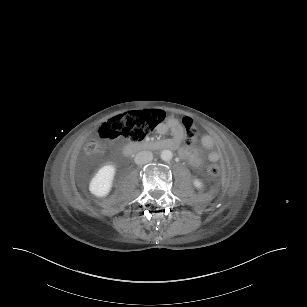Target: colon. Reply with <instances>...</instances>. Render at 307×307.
Listing matches in <instances>:
<instances>
[{"label":"colon","mask_w":307,"mask_h":307,"mask_svg":"<svg viewBox=\"0 0 307 307\" xmlns=\"http://www.w3.org/2000/svg\"><path fill=\"white\" fill-rule=\"evenodd\" d=\"M164 117L165 113L162 110H145L113 117L99 127L100 139H91L85 143L84 152L88 156L95 155L103 151L109 142L118 139L141 141ZM181 122L186 143L194 145L199 138V130L192 122L191 115H182ZM208 172L213 178L219 176L221 172L220 164L217 161L209 162Z\"/></svg>","instance_id":"obj_1"}]
</instances>
